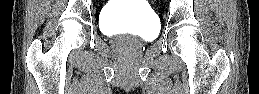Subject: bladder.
Returning <instances> with one entry per match:
<instances>
[{"instance_id":"1","label":"bladder","mask_w":259,"mask_h":94,"mask_svg":"<svg viewBox=\"0 0 259 94\" xmlns=\"http://www.w3.org/2000/svg\"><path fill=\"white\" fill-rule=\"evenodd\" d=\"M113 17L112 13H110L107 17L104 23L105 28L110 27L111 18ZM127 25L135 29L139 35H144V33L149 32V30L152 28L153 20L151 19L148 12H139L137 14H134L130 18L125 20Z\"/></svg>"}]
</instances>
